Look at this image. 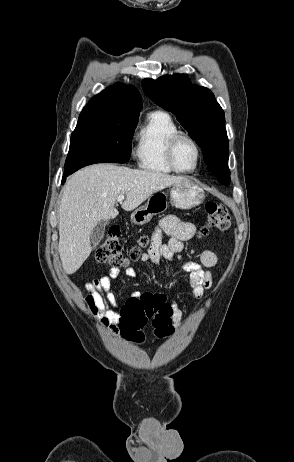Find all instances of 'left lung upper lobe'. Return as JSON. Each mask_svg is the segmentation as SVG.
<instances>
[{
	"mask_svg": "<svg viewBox=\"0 0 294 462\" xmlns=\"http://www.w3.org/2000/svg\"><path fill=\"white\" fill-rule=\"evenodd\" d=\"M142 88L152 101L176 115L201 147L208 169L218 177H229L225 116L213 93L192 85L186 75L144 79Z\"/></svg>",
	"mask_w": 294,
	"mask_h": 462,
	"instance_id": "1",
	"label": "left lung upper lobe"
}]
</instances>
